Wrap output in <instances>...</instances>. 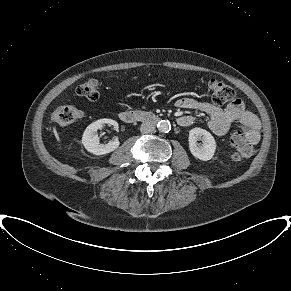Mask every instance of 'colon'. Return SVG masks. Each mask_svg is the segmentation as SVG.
I'll use <instances>...</instances> for the list:
<instances>
[{"instance_id":"5ec220e1","label":"colon","mask_w":291,"mask_h":291,"mask_svg":"<svg viewBox=\"0 0 291 291\" xmlns=\"http://www.w3.org/2000/svg\"><path fill=\"white\" fill-rule=\"evenodd\" d=\"M207 87L211 95L212 102L215 105H223L235 97L233 88L221 81L211 79L207 81ZM78 96L84 97L90 101H95L99 97V82L96 78H88L76 88ZM82 117L81 110L73 106H58L53 114L52 119L63 126L72 124ZM230 144L234 151L232 158L241 160L253 155L254 148L250 141L246 139L241 131H235L230 136Z\"/></svg>"}]
</instances>
